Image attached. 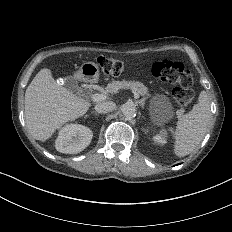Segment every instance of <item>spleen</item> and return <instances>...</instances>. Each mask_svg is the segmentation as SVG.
<instances>
[{
	"label": "spleen",
	"mask_w": 232,
	"mask_h": 232,
	"mask_svg": "<svg viewBox=\"0 0 232 232\" xmlns=\"http://www.w3.org/2000/svg\"><path fill=\"white\" fill-rule=\"evenodd\" d=\"M210 118L209 95L205 90H201L198 102L192 110L178 119L176 130L171 125L166 127V131L173 139V150L176 156H186L196 149L206 134Z\"/></svg>",
	"instance_id": "spleen-1"
}]
</instances>
